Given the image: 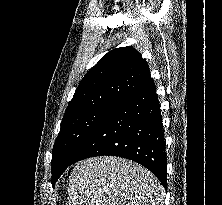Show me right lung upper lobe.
<instances>
[{
  "label": "right lung upper lobe",
  "mask_w": 222,
  "mask_h": 205,
  "mask_svg": "<svg viewBox=\"0 0 222 205\" xmlns=\"http://www.w3.org/2000/svg\"><path fill=\"white\" fill-rule=\"evenodd\" d=\"M149 67L132 47L109 51L79 83L63 119L101 106H115L138 88L153 82Z\"/></svg>",
  "instance_id": "obj_1"
}]
</instances>
